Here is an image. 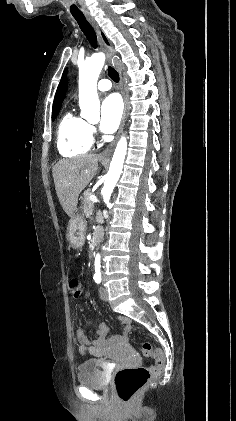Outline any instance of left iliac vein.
Segmentation results:
<instances>
[{"label":"left iliac vein","instance_id":"obj_1","mask_svg":"<svg viewBox=\"0 0 236 421\" xmlns=\"http://www.w3.org/2000/svg\"><path fill=\"white\" fill-rule=\"evenodd\" d=\"M100 297L103 301H108V291L104 286L100 287Z\"/></svg>","mask_w":236,"mask_h":421}]
</instances>
